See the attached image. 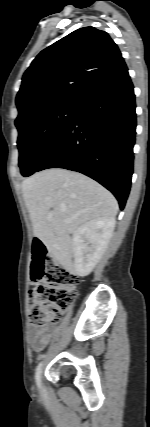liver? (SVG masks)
<instances>
[{
	"label": "liver",
	"mask_w": 150,
	"mask_h": 427,
	"mask_svg": "<svg viewBox=\"0 0 150 427\" xmlns=\"http://www.w3.org/2000/svg\"><path fill=\"white\" fill-rule=\"evenodd\" d=\"M34 236L63 266L72 268L70 234L90 221L115 218L118 203L103 186L61 168L37 172L22 182Z\"/></svg>",
	"instance_id": "6515ba94"
}]
</instances>
